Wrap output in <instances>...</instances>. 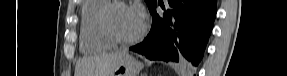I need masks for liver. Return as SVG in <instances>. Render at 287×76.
I'll list each match as a JSON object with an SVG mask.
<instances>
[{"instance_id":"6515ba94","label":"liver","mask_w":287,"mask_h":76,"mask_svg":"<svg viewBox=\"0 0 287 76\" xmlns=\"http://www.w3.org/2000/svg\"><path fill=\"white\" fill-rule=\"evenodd\" d=\"M126 52L102 54L79 60L75 76H111Z\"/></svg>"}]
</instances>
